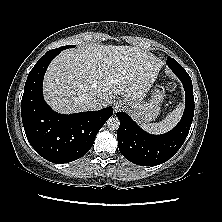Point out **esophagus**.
<instances>
[{
    "mask_svg": "<svg viewBox=\"0 0 222 222\" xmlns=\"http://www.w3.org/2000/svg\"><path fill=\"white\" fill-rule=\"evenodd\" d=\"M125 102L122 100H118L114 103V111L117 112L118 110H121L124 108Z\"/></svg>",
    "mask_w": 222,
    "mask_h": 222,
    "instance_id": "34e87169",
    "label": "esophagus"
}]
</instances>
